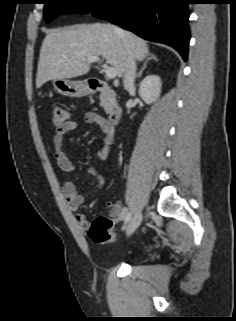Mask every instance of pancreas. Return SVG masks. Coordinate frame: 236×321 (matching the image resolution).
Wrapping results in <instances>:
<instances>
[{
  "instance_id": "pancreas-1",
  "label": "pancreas",
  "mask_w": 236,
  "mask_h": 321,
  "mask_svg": "<svg viewBox=\"0 0 236 321\" xmlns=\"http://www.w3.org/2000/svg\"><path fill=\"white\" fill-rule=\"evenodd\" d=\"M101 106L104 108L105 112L108 113L112 107L116 104L115 101L110 100L106 95L100 96Z\"/></svg>"
}]
</instances>
